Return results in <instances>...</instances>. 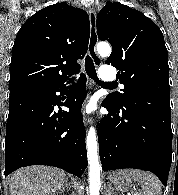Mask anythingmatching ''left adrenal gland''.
Wrapping results in <instances>:
<instances>
[{
    "instance_id": "left-adrenal-gland-1",
    "label": "left adrenal gland",
    "mask_w": 178,
    "mask_h": 195,
    "mask_svg": "<svg viewBox=\"0 0 178 195\" xmlns=\"http://www.w3.org/2000/svg\"><path fill=\"white\" fill-rule=\"evenodd\" d=\"M105 194H106V195H116L115 192H112V190H111V185H108Z\"/></svg>"
}]
</instances>
